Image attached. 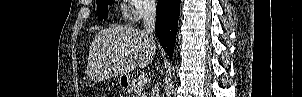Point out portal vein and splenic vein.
Returning a JSON list of instances; mask_svg holds the SVG:
<instances>
[{
  "label": "portal vein and splenic vein",
  "mask_w": 302,
  "mask_h": 97,
  "mask_svg": "<svg viewBox=\"0 0 302 97\" xmlns=\"http://www.w3.org/2000/svg\"><path fill=\"white\" fill-rule=\"evenodd\" d=\"M147 83V77L145 75H139L137 84L139 86H144Z\"/></svg>",
  "instance_id": "1"
}]
</instances>
